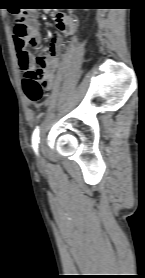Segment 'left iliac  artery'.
Here are the masks:
<instances>
[{
  "label": "left iliac artery",
  "instance_id": "left-iliac-artery-1",
  "mask_svg": "<svg viewBox=\"0 0 145 278\" xmlns=\"http://www.w3.org/2000/svg\"><path fill=\"white\" fill-rule=\"evenodd\" d=\"M39 139V127H37L32 134V147L36 154L38 153Z\"/></svg>",
  "mask_w": 145,
  "mask_h": 278
}]
</instances>
